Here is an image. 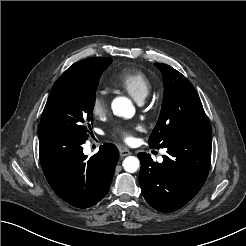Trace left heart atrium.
<instances>
[{
    "instance_id": "obj_1",
    "label": "left heart atrium",
    "mask_w": 246,
    "mask_h": 246,
    "mask_svg": "<svg viewBox=\"0 0 246 246\" xmlns=\"http://www.w3.org/2000/svg\"><path fill=\"white\" fill-rule=\"evenodd\" d=\"M121 137L127 144H132L135 141L134 133L129 129L121 131Z\"/></svg>"
}]
</instances>
